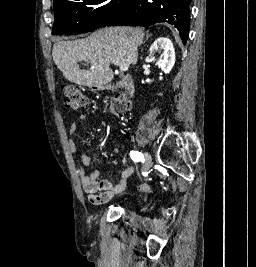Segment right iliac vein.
I'll list each match as a JSON object with an SVG mask.
<instances>
[{
  "mask_svg": "<svg viewBox=\"0 0 256 267\" xmlns=\"http://www.w3.org/2000/svg\"><path fill=\"white\" fill-rule=\"evenodd\" d=\"M152 164V158L149 153H145L143 156V170L146 171L151 167Z\"/></svg>",
  "mask_w": 256,
  "mask_h": 267,
  "instance_id": "obj_1",
  "label": "right iliac vein"
}]
</instances>
